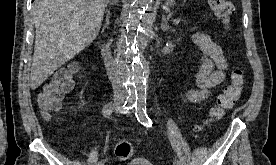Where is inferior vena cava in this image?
I'll return each mask as SVG.
<instances>
[{
  "mask_svg": "<svg viewBox=\"0 0 276 165\" xmlns=\"http://www.w3.org/2000/svg\"><path fill=\"white\" fill-rule=\"evenodd\" d=\"M104 60L109 79L113 86L114 100L118 102H124V87L122 85L121 78L118 74L117 64L112 60L110 53L105 54Z\"/></svg>",
  "mask_w": 276,
  "mask_h": 165,
  "instance_id": "602c4592",
  "label": "inferior vena cava"
}]
</instances>
